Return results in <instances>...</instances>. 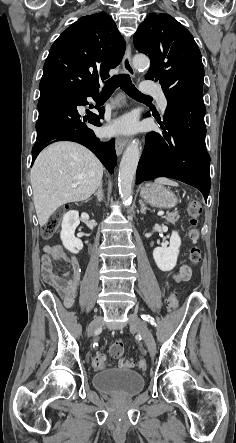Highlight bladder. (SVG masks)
I'll return each instance as SVG.
<instances>
[{"label":"bladder","mask_w":236,"mask_h":443,"mask_svg":"<svg viewBox=\"0 0 236 443\" xmlns=\"http://www.w3.org/2000/svg\"><path fill=\"white\" fill-rule=\"evenodd\" d=\"M144 384V377L128 368L101 371L93 377L96 390L119 397L137 394L143 389Z\"/></svg>","instance_id":"31cf9c89"}]
</instances>
